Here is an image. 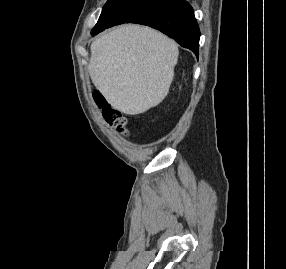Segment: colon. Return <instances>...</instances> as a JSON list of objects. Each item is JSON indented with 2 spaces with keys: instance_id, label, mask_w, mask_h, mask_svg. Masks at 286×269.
Wrapping results in <instances>:
<instances>
[{
  "instance_id": "colon-1",
  "label": "colon",
  "mask_w": 286,
  "mask_h": 269,
  "mask_svg": "<svg viewBox=\"0 0 286 269\" xmlns=\"http://www.w3.org/2000/svg\"><path fill=\"white\" fill-rule=\"evenodd\" d=\"M94 99L97 105L101 108L105 121L110 126L114 127L117 131L126 133V117L119 110L113 108L110 104H108L102 95L97 94L95 95Z\"/></svg>"
}]
</instances>
